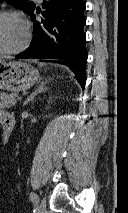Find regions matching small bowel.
Returning <instances> with one entry per match:
<instances>
[{
    "mask_svg": "<svg viewBox=\"0 0 128 213\" xmlns=\"http://www.w3.org/2000/svg\"><path fill=\"white\" fill-rule=\"evenodd\" d=\"M7 114H9V113L4 112V111H2V110L0 109V122H2L3 118H4Z\"/></svg>",
    "mask_w": 128,
    "mask_h": 213,
    "instance_id": "obj_1",
    "label": "small bowel"
}]
</instances>
